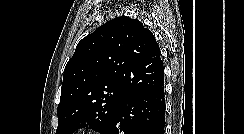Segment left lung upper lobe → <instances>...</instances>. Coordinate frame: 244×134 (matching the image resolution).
Wrapping results in <instances>:
<instances>
[{
    "instance_id": "1",
    "label": "left lung upper lobe",
    "mask_w": 244,
    "mask_h": 134,
    "mask_svg": "<svg viewBox=\"0 0 244 134\" xmlns=\"http://www.w3.org/2000/svg\"><path fill=\"white\" fill-rule=\"evenodd\" d=\"M160 54L153 33L127 16L83 38L64 69L56 134L85 123L105 134L125 99L164 85Z\"/></svg>"
}]
</instances>
